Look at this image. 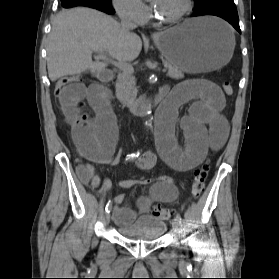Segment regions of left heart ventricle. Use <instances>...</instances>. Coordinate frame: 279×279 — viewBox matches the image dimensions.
I'll return each instance as SVG.
<instances>
[{"mask_svg":"<svg viewBox=\"0 0 279 279\" xmlns=\"http://www.w3.org/2000/svg\"><path fill=\"white\" fill-rule=\"evenodd\" d=\"M157 15L170 18L176 16L185 6L186 0H151Z\"/></svg>","mask_w":279,"mask_h":279,"instance_id":"left-heart-ventricle-1","label":"left heart ventricle"}]
</instances>
